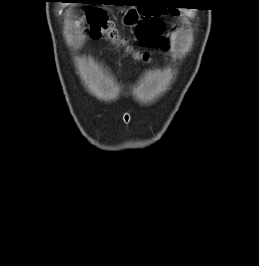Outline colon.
<instances>
[{"instance_id": "1", "label": "colon", "mask_w": 259, "mask_h": 266, "mask_svg": "<svg viewBox=\"0 0 259 266\" xmlns=\"http://www.w3.org/2000/svg\"><path fill=\"white\" fill-rule=\"evenodd\" d=\"M84 23L86 33L90 38L95 40L105 39L137 61L146 63L150 61V55L148 53L136 51L128 44L127 40L119 34L115 24L103 10H90L86 14ZM162 32V22L159 19L151 17L142 21L137 28V36L142 43L148 46L166 48L168 43L161 37Z\"/></svg>"}]
</instances>
